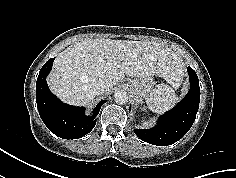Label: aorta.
I'll list each match as a JSON object with an SVG mask.
<instances>
[{"instance_id":"obj_1","label":"aorta","mask_w":236,"mask_h":178,"mask_svg":"<svg viewBox=\"0 0 236 178\" xmlns=\"http://www.w3.org/2000/svg\"><path fill=\"white\" fill-rule=\"evenodd\" d=\"M114 100L117 104H125L128 101V94L124 90H119L114 94Z\"/></svg>"}]
</instances>
